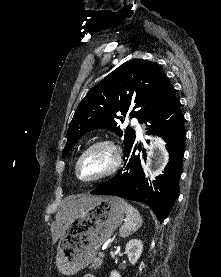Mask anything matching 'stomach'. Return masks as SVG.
<instances>
[{
    "mask_svg": "<svg viewBox=\"0 0 221 277\" xmlns=\"http://www.w3.org/2000/svg\"><path fill=\"white\" fill-rule=\"evenodd\" d=\"M125 208L114 197H100L83 208L61 235L56 265L62 274L74 275L91 264L102 244L122 223Z\"/></svg>",
    "mask_w": 221,
    "mask_h": 277,
    "instance_id": "1",
    "label": "stomach"
}]
</instances>
